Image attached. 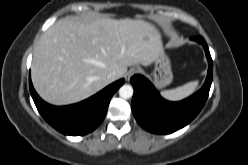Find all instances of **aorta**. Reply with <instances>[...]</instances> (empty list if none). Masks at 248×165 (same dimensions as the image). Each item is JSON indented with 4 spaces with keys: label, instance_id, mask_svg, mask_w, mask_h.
<instances>
[{
    "label": "aorta",
    "instance_id": "1",
    "mask_svg": "<svg viewBox=\"0 0 248 165\" xmlns=\"http://www.w3.org/2000/svg\"><path fill=\"white\" fill-rule=\"evenodd\" d=\"M119 95L121 98L128 99L133 96V87L130 85H123L119 89Z\"/></svg>",
    "mask_w": 248,
    "mask_h": 165
}]
</instances>
